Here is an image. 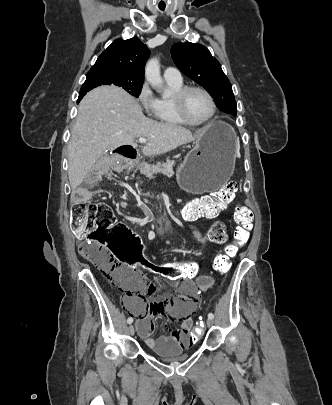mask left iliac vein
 Instances as JSON below:
<instances>
[{"label": "left iliac vein", "instance_id": "4c4485c4", "mask_svg": "<svg viewBox=\"0 0 332 405\" xmlns=\"http://www.w3.org/2000/svg\"><path fill=\"white\" fill-rule=\"evenodd\" d=\"M206 324H207L208 327H211V326H213L214 322H213L212 319L208 318L207 321H206Z\"/></svg>", "mask_w": 332, "mask_h": 405}]
</instances>
